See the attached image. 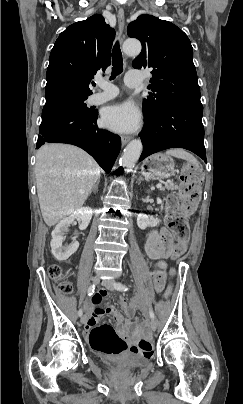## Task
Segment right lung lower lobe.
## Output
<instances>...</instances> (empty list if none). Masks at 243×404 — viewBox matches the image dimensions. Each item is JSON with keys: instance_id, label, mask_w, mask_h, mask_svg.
Wrapping results in <instances>:
<instances>
[{"instance_id": "obj_1", "label": "right lung lower lobe", "mask_w": 243, "mask_h": 404, "mask_svg": "<svg viewBox=\"0 0 243 404\" xmlns=\"http://www.w3.org/2000/svg\"><path fill=\"white\" fill-rule=\"evenodd\" d=\"M97 111H64L42 120L36 148L45 142L76 145L87 151L109 173L121 148L118 135L97 127Z\"/></svg>"}]
</instances>
